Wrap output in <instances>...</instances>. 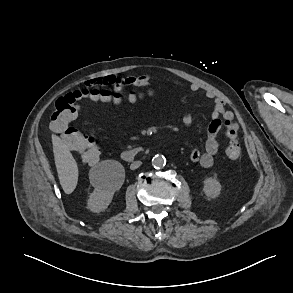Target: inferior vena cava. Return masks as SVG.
Segmentation results:
<instances>
[{
	"label": "inferior vena cava",
	"mask_w": 293,
	"mask_h": 293,
	"mask_svg": "<svg viewBox=\"0 0 293 293\" xmlns=\"http://www.w3.org/2000/svg\"><path fill=\"white\" fill-rule=\"evenodd\" d=\"M141 164H142L141 161H135V162H133V163L131 164L130 169H131V170H135V169H137Z\"/></svg>",
	"instance_id": "1"
}]
</instances>
